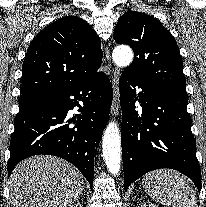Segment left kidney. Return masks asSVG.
<instances>
[{
    "label": "left kidney",
    "mask_w": 206,
    "mask_h": 207,
    "mask_svg": "<svg viewBox=\"0 0 206 207\" xmlns=\"http://www.w3.org/2000/svg\"><path fill=\"white\" fill-rule=\"evenodd\" d=\"M141 207H158L155 204H152L151 202H143L141 204Z\"/></svg>",
    "instance_id": "1"
}]
</instances>
